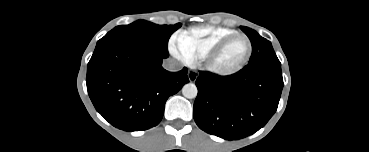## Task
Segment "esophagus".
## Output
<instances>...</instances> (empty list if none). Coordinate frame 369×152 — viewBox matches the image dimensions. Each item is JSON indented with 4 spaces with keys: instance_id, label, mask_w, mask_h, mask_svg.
<instances>
[{
    "instance_id": "34e87169",
    "label": "esophagus",
    "mask_w": 369,
    "mask_h": 152,
    "mask_svg": "<svg viewBox=\"0 0 369 152\" xmlns=\"http://www.w3.org/2000/svg\"><path fill=\"white\" fill-rule=\"evenodd\" d=\"M187 76L190 82H194L198 77V73L194 70H189Z\"/></svg>"
}]
</instances>
